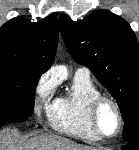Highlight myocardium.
Wrapping results in <instances>:
<instances>
[{
	"label": "myocardium",
	"mask_w": 139,
	"mask_h": 150,
	"mask_svg": "<svg viewBox=\"0 0 139 150\" xmlns=\"http://www.w3.org/2000/svg\"><path fill=\"white\" fill-rule=\"evenodd\" d=\"M104 103L110 104L113 107V109H114V111L116 113V116H117L118 127H117L116 132L113 135H106V134H104L101 131V129L99 127V124H98V112L100 110V107ZM88 117H89V122H90V125H91L93 131L100 138H103V139H112V138H115V137H117L120 134V132L122 130V127H123V116H122L120 107L117 104V102L113 98H111L109 96L101 95L100 94L99 96L95 97L91 101V103L89 105Z\"/></svg>",
	"instance_id": "obj_1"
}]
</instances>
